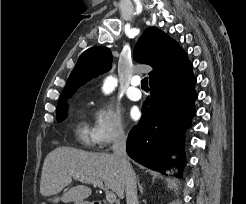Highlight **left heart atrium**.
<instances>
[{
	"instance_id": "39dd6f15",
	"label": "left heart atrium",
	"mask_w": 246,
	"mask_h": 204,
	"mask_svg": "<svg viewBox=\"0 0 246 204\" xmlns=\"http://www.w3.org/2000/svg\"><path fill=\"white\" fill-rule=\"evenodd\" d=\"M140 116V112L137 108H133L131 111H130V117L131 119L133 120H137Z\"/></svg>"
}]
</instances>
